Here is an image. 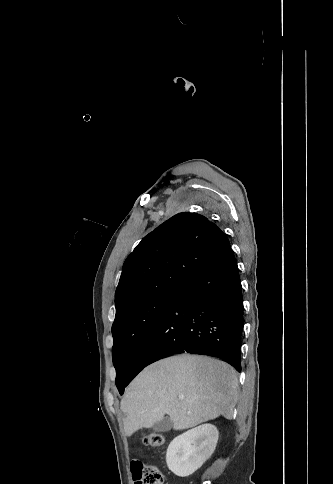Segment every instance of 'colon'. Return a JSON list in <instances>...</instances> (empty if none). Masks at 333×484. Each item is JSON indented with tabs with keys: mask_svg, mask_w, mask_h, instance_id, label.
I'll return each mask as SVG.
<instances>
[{
	"mask_svg": "<svg viewBox=\"0 0 333 484\" xmlns=\"http://www.w3.org/2000/svg\"><path fill=\"white\" fill-rule=\"evenodd\" d=\"M143 443L150 447H160L164 444V437L159 433H149L143 438ZM164 476L161 470L152 465L142 464L136 484H163Z\"/></svg>",
	"mask_w": 333,
	"mask_h": 484,
	"instance_id": "5ec220e1",
	"label": "colon"
}]
</instances>
